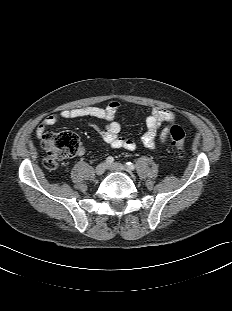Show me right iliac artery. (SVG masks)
<instances>
[{
    "label": "right iliac artery",
    "mask_w": 232,
    "mask_h": 311,
    "mask_svg": "<svg viewBox=\"0 0 232 311\" xmlns=\"http://www.w3.org/2000/svg\"><path fill=\"white\" fill-rule=\"evenodd\" d=\"M113 161H114V158H113L112 156H109V157H107V159H106V163H107V164H111V163H113Z\"/></svg>",
    "instance_id": "obj_1"
}]
</instances>
